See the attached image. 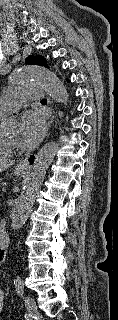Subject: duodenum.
<instances>
[{
  "mask_svg": "<svg viewBox=\"0 0 118 320\" xmlns=\"http://www.w3.org/2000/svg\"><path fill=\"white\" fill-rule=\"evenodd\" d=\"M9 245V236L6 232L5 226H0V257L2 259V254L4 253L5 249H7ZM3 261V260H2Z\"/></svg>",
  "mask_w": 118,
  "mask_h": 320,
  "instance_id": "410a0bca",
  "label": "duodenum"
}]
</instances>
